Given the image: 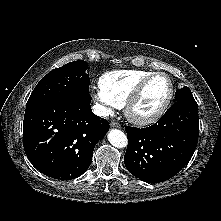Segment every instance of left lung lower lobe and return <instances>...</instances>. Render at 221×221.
<instances>
[{
	"mask_svg": "<svg viewBox=\"0 0 221 221\" xmlns=\"http://www.w3.org/2000/svg\"><path fill=\"white\" fill-rule=\"evenodd\" d=\"M126 168L148 183L169 179L191 159L199 136L195 99L176 101L151 127H125Z\"/></svg>",
	"mask_w": 221,
	"mask_h": 221,
	"instance_id": "obj_1",
	"label": "left lung lower lobe"
}]
</instances>
